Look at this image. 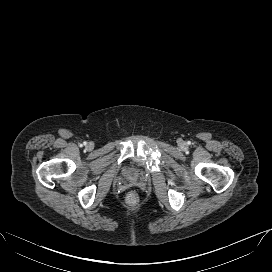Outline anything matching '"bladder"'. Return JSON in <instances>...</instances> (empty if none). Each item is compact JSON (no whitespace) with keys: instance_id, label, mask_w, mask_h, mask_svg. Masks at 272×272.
I'll use <instances>...</instances> for the list:
<instances>
[{"instance_id":"31cf9c89","label":"bladder","mask_w":272,"mask_h":272,"mask_svg":"<svg viewBox=\"0 0 272 272\" xmlns=\"http://www.w3.org/2000/svg\"><path fill=\"white\" fill-rule=\"evenodd\" d=\"M124 176L128 180H136L141 176V169L135 165H128L124 169Z\"/></svg>"}]
</instances>
